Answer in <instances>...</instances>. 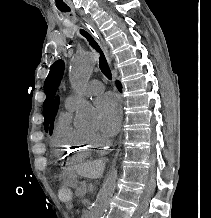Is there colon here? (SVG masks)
I'll list each match as a JSON object with an SVG mask.
<instances>
[{
	"instance_id": "5ec220e1",
	"label": "colon",
	"mask_w": 211,
	"mask_h": 218,
	"mask_svg": "<svg viewBox=\"0 0 211 218\" xmlns=\"http://www.w3.org/2000/svg\"><path fill=\"white\" fill-rule=\"evenodd\" d=\"M57 196L61 202L68 203L72 200V191L68 186L61 185L57 190Z\"/></svg>"
}]
</instances>
